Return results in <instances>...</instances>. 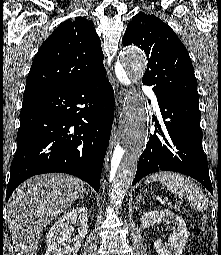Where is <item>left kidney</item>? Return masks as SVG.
<instances>
[{"mask_svg": "<svg viewBox=\"0 0 221 255\" xmlns=\"http://www.w3.org/2000/svg\"><path fill=\"white\" fill-rule=\"evenodd\" d=\"M142 228H149L157 220L172 224L170 241L164 244L158 239L154 242V249L159 255H182L183 249L188 239V230L184 220L169 210H153L148 211L141 217Z\"/></svg>", "mask_w": 221, "mask_h": 255, "instance_id": "left-kidney-1", "label": "left kidney"}]
</instances>
